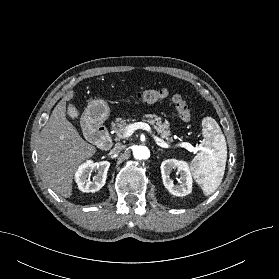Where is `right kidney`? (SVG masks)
<instances>
[{
    "mask_svg": "<svg viewBox=\"0 0 279 279\" xmlns=\"http://www.w3.org/2000/svg\"><path fill=\"white\" fill-rule=\"evenodd\" d=\"M110 167L108 161L94 163L91 160L80 165L75 173V181L82 192L95 193L100 190L106 182L107 171ZM97 170V174L90 180L91 173Z\"/></svg>",
    "mask_w": 279,
    "mask_h": 279,
    "instance_id": "right-kidney-1",
    "label": "right kidney"
}]
</instances>
